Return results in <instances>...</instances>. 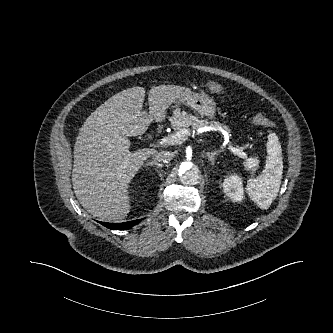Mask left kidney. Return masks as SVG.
<instances>
[{"label":"left kidney","instance_id":"1","mask_svg":"<svg viewBox=\"0 0 333 333\" xmlns=\"http://www.w3.org/2000/svg\"><path fill=\"white\" fill-rule=\"evenodd\" d=\"M223 191L233 202L241 203L244 200L243 183L238 175H230L224 179Z\"/></svg>","mask_w":333,"mask_h":333}]
</instances>
